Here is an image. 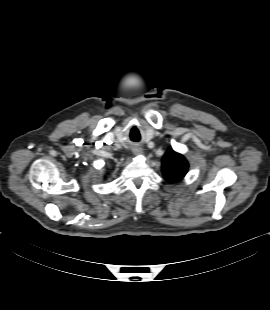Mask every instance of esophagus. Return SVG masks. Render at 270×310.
Returning a JSON list of instances; mask_svg holds the SVG:
<instances>
[{
    "label": "esophagus",
    "mask_w": 270,
    "mask_h": 310,
    "mask_svg": "<svg viewBox=\"0 0 270 310\" xmlns=\"http://www.w3.org/2000/svg\"><path fill=\"white\" fill-rule=\"evenodd\" d=\"M133 153L135 155H139V154L143 153V150H142V148L140 146H135V147H133Z\"/></svg>",
    "instance_id": "obj_1"
}]
</instances>
